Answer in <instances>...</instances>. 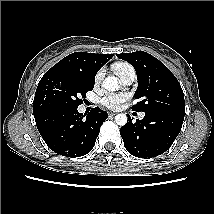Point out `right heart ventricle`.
<instances>
[{
	"instance_id": "right-heart-ventricle-1",
	"label": "right heart ventricle",
	"mask_w": 214,
	"mask_h": 214,
	"mask_svg": "<svg viewBox=\"0 0 214 214\" xmlns=\"http://www.w3.org/2000/svg\"><path fill=\"white\" fill-rule=\"evenodd\" d=\"M131 67L129 64L127 63H124V62H119V63H115L113 65V70L114 72L119 75V73L123 70V69H126V68H129Z\"/></svg>"
}]
</instances>
